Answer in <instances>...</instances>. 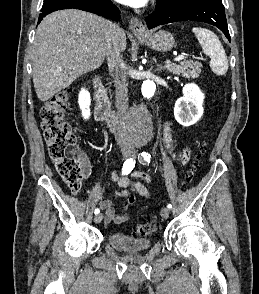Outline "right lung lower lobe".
Returning a JSON list of instances; mask_svg holds the SVG:
<instances>
[{
  "label": "right lung lower lobe",
  "instance_id": "obj_1",
  "mask_svg": "<svg viewBox=\"0 0 259 294\" xmlns=\"http://www.w3.org/2000/svg\"><path fill=\"white\" fill-rule=\"evenodd\" d=\"M71 8L92 12L116 21L121 18L120 10L110 0H57L41 9L38 23L51 12Z\"/></svg>",
  "mask_w": 259,
  "mask_h": 294
}]
</instances>
